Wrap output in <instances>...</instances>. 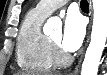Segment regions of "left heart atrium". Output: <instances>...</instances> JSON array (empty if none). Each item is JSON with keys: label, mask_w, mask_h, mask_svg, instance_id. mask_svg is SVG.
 <instances>
[{"label": "left heart atrium", "mask_w": 107, "mask_h": 75, "mask_svg": "<svg viewBox=\"0 0 107 75\" xmlns=\"http://www.w3.org/2000/svg\"><path fill=\"white\" fill-rule=\"evenodd\" d=\"M85 24L82 17L73 11L68 12L62 35V46L67 52L78 50L85 37Z\"/></svg>", "instance_id": "left-heart-atrium-1"}]
</instances>
